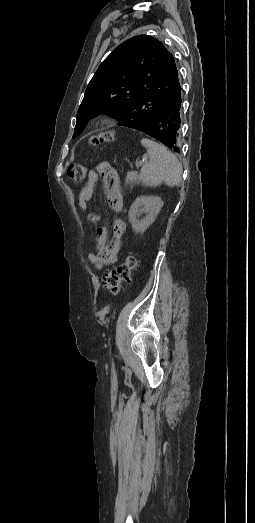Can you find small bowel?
<instances>
[{
    "mask_svg": "<svg viewBox=\"0 0 255 523\" xmlns=\"http://www.w3.org/2000/svg\"><path fill=\"white\" fill-rule=\"evenodd\" d=\"M100 176L104 180L105 195L110 206L115 212H122L123 198L120 191L118 174L116 170L106 162L100 163L89 171L87 183L82 187L79 193V208L83 211L88 209V204L92 199L95 185ZM88 219L92 223H98L101 217L96 213H89ZM113 229L114 238L108 242L107 229L105 227H98L95 237L96 250L88 251L87 253L89 262L98 270H102L105 266L112 265L118 261L122 238L126 232V223L121 219H116L113 224Z\"/></svg>",
    "mask_w": 255,
    "mask_h": 523,
    "instance_id": "small-bowel-1",
    "label": "small bowel"
}]
</instances>
